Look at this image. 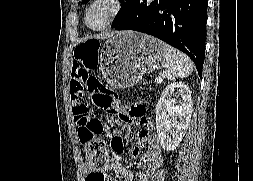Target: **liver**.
I'll list each match as a JSON object with an SVG mask.
<instances>
[{"label": "liver", "mask_w": 253, "mask_h": 181, "mask_svg": "<svg viewBox=\"0 0 253 181\" xmlns=\"http://www.w3.org/2000/svg\"><path fill=\"white\" fill-rule=\"evenodd\" d=\"M95 38H100V35H96V36H94Z\"/></svg>", "instance_id": "1"}]
</instances>
